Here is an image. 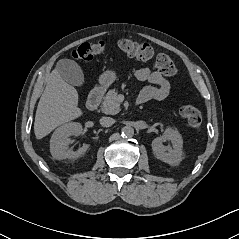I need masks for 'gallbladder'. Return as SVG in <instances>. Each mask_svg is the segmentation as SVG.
<instances>
[{
    "instance_id": "obj_1",
    "label": "gallbladder",
    "mask_w": 239,
    "mask_h": 239,
    "mask_svg": "<svg viewBox=\"0 0 239 239\" xmlns=\"http://www.w3.org/2000/svg\"><path fill=\"white\" fill-rule=\"evenodd\" d=\"M56 69L68 83L78 87L84 83V75L81 67L75 61L61 59L57 62Z\"/></svg>"
}]
</instances>
